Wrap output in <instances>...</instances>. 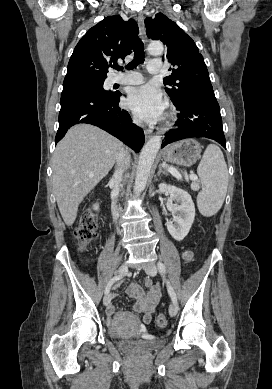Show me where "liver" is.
Listing matches in <instances>:
<instances>
[{
	"label": "liver",
	"instance_id": "obj_1",
	"mask_svg": "<svg viewBox=\"0 0 272 389\" xmlns=\"http://www.w3.org/2000/svg\"><path fill=\"white\" fill-rule=\"evenodd\" d=\"M122 143L102 129L75 125L53 156V191L62 218L71 226L79 204L112 169Z\"/></svg>",
	"mask_w": 272,
	"mask_h": 389
}]
</instances>
